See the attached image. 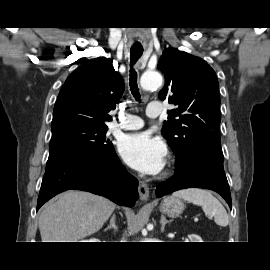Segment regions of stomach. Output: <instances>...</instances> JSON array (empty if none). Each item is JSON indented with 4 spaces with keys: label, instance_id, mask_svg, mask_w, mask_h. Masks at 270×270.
I'll return each instance as SVG.
<instances>
[{
    "label": "stomach",
    "instance_id": "1",
    "mask_svg": "<svg viewBox=\"0 0 270 270\" xmlns=\"http://www.w3.org/2000/svg\"><path fill=\"white\" fill-rule=\"evenodd\" d=\"M160 211L164 214L175 216L180 215L184 209V203L176 197H166L160 204Z\"/></svg>",
    "mask_w": 270,
    "mask_h": 270
}]
</instances>
